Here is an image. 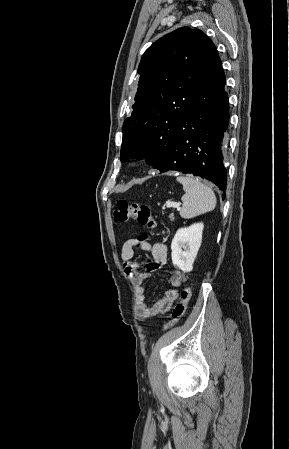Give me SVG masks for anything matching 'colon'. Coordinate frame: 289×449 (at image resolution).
Returning a JSON list of instances; mask_svg holds the SVG:
<instances>
[{
  "instance_id": "obj_1",
  "label": "colon",
  "mask_w": 289,
  "mask_h": 449,
  "mask_svg": "<svg viewBox=\"0 0 289 449\" xmlns=\"http://www.w3.org/2000/svg\"><path fill=\"white\" fill-rule=\"evenodd\" d=\"M114 220L116 222H128L134 220L141 225L148 227H155L157 225V219L152 214L150 208L143 204L129 203L126 200H118L114 211ZM145 235L139 236L138 240H146ZM191 292L189 287H184L180 292V301L177 303L173 310L171 320L163 325L161 331H167L176 325L180 319L184 316L188 304L190 302Z\"/></svg>"
}]
</instances>
